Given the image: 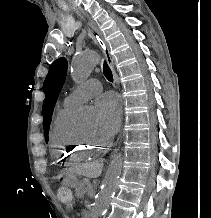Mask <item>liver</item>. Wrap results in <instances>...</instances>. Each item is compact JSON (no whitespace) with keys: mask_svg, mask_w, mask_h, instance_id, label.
Segmentation results:
<instances>
[{"mask_svg":"<svg viewBox=\"0 0 211 218\" xmlns=\"http://www.w3.org/2000/svg\"><path fill=\"white\" fill-rule=\"evenodd\" d=\"M103 164H97V162H91V164H84L81 166L79 172L82 176H87V178H98L102 172Z\"/></svg>","mask_w":211,"mask_h":218,"instance_id":"obj_1","label":"liver"}]
</instances>
